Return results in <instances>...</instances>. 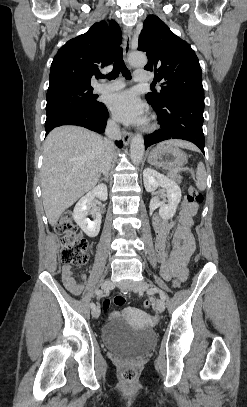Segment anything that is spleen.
Here are the masks:
<instances>
[{"label": "spleen", "mask_w": 247, "mask_h": 407, "mask_svg": "<svg viewBox=\"0 0 247 407\" xmlns=\"http://www.w3.org/2000/svg\"><path fill=\"white\" fill-rule=\"evenodd\" d=\"M206 170L202 162H199L196 170V186L199 190L203 191L206 188Z\"/></svg>", "instance_id": "1"}]
</instances>
